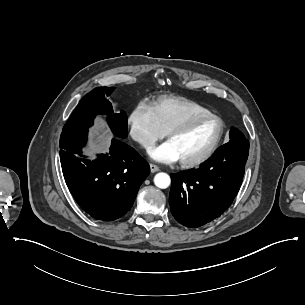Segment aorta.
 Listing matches in <instances>:
<instances>
[{"mask_svg":"<svg viewBox=\"0 0 305 305\" xmlns=\"http://www.w3.org/2000/svg\"><path fill=\"white\" fill-rule=\"evenodd\" d=\"M171 183L170 176L167 173L161 172L155 175L154 184L161 189H166Z\"/></svg>","mask_w":305,"mask_h":305,"instance_id":"aorta-1","label":"aorta"}]
</instances>
